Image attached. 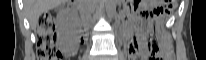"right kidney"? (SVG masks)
Returning a JSON list of instances; mask_svg holds the SVG:
<instances>
[{
	"mask_svg": "<svg viewBox=\"0 0 206 60\" xmlns=\"http://www.w3.org/2000/svg\"><path fill=\"white\" fill-rule=\"evenodd\" d=\"M59 23H60L59 42L62 46H69L73 43V36L76 32L78 23L76 20H73L72 22H66L60 20Z\"/></svg>",
	"mask_w": 206,
	"mask_h": 60,
	"instance_id": "1",
	"label": "right kidney"
}]
</instances>
